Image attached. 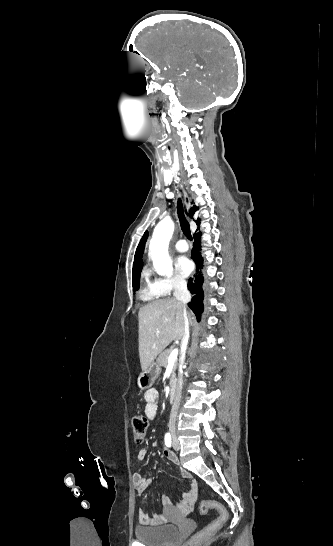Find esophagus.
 <instances>
[{"label":"esophagus","instance_id":"obj_1","mask_svg":"<svg viewBox=\"0 0 333 546\" xmlns=\"http://www.w3.org/2000/svg\"><path fill=\"white\" fill-rule=\"evenodd\" d=\"M183 194H184V203L186 204L187 208L190 207V200H189V197L186 193V191L183 189Z\"/></svg>","mask_w":333,"mask_h":546}]
</instances>
